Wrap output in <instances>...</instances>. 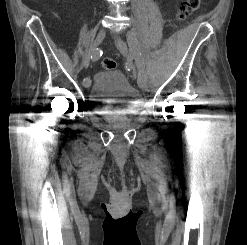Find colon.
Masks as SVG:
<instances>
[{
	"label": "colon",
	"instance_id": "obj_1",
	"mask_svg": "<svg viewBox=\"0 0 247 245\" xmlns=\"http://www.w3.org/2000/svg\"><path fill=\"white\" fill-rule=\"evenodd\" d=\"M199 5L200 0H182L178 10V18L185 20L199 8ZM102 65L107 70L115 69L117 66L113 59H104Z\"/></svg>",
	"mask_w": 247,
	"mask_h": 245
}]
</instances>
